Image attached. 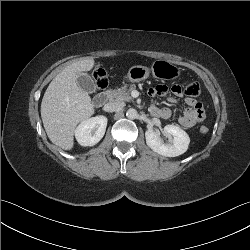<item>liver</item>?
<instances>
[{
	"mask_svg": "<svg viewBox=\"0 0 250 250\" xmlns=\"http://www.w3.org/2000/svg\"><path fill=\"white\" fill-rule=\"evenodd\" d=\"M93 58L76 61L65 67L51 81L41 103V118L52 143L64 150L74 146L77 124L94 113L91 98L77 83L82 72L90 71Z\"/></svg>",
	"mask_w": 250,
	"mask_h": 250,
	"instance_id": "obj_1",
	"label": "liver"
}]
</instances>
